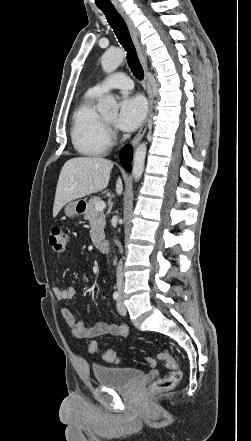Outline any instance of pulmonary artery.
<instances>
[{
  "mask_svg": "<svg viewBox=\"0 0 251 441\" xmlns=\"http://www.w3.org/2000/svg\"><path fill=\"white\" fill-rule=\"evenodd\" d=\"M132 88L133 82L127 75L116 73L97 83L91 89L101 95L113 89L128 91Z\"/></svg>",
  "mask_w": 251,
  "mask_h": 441,
  "instance_id": "1",
  "label": "pulmonary artery"
}]
</instances>
